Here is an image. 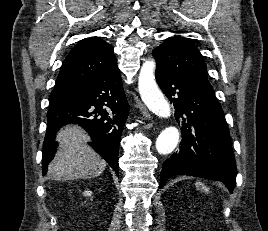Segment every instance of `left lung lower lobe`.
Masks as SVG:
<instances>
[{"label":"left lung lower lobe","instance_id":"left-lung-lower-lobe-1","mask_svg":"<svg viewBox=\"0 0 268 231\" xmlns=\"http://www.w3.org/2000/svg\"><path fill=\"white\" fill-rule=\"evenodd\" d=\"M155 77L173 104L183 138L178 151L163 163L160 188L174 175H189L219 180L232 192L236 164L227 122L215 93L158 65Z\"/></svg>","mask_w":268,"mask_h":231}]
</instances>
